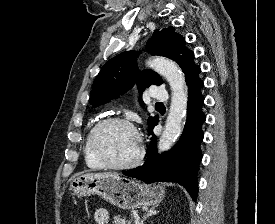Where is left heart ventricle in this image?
Returning <instances> with one entry per match:
<instances>
[{"mask_svg":"<svg viewBox=\"0 0 275 224\" xmlns=\"http://www.w3.org/2000/svg\"><path fill=\"white\" fill-rule=\"evenodd\" d=\"M99 145L107 158L116 164L129 162L138 150L135 133L122 124L106 127L100 135Z\"/></svg>","mask_w":275,"mask_h":224,"instance_id":"left-heart-ventricle-1","label":"left heart ventricle"}]
</instances>
